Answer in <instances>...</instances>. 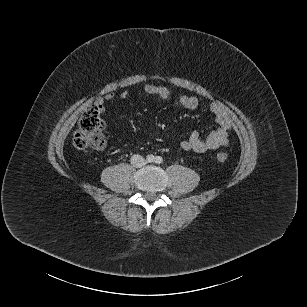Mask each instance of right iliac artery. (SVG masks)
<instances>
[{
	"instance_id": "right-iliac-artery-1",
	"label": "right iliac artery",
	"mask_w": 307,
	"mask_h": 307,
	"mask_svg": "<svg viewBox=\"0 0 307 307\" xmlns=\"http://www.w3.org/2000/svg\"><path fill=\"white\" fill-rule=\"evenodd\" d=\"M154 159H155V158H154L153 155H148L147 158H146L147 162H149V163L153 162Z\"/></svg>"
}]
</instances>
